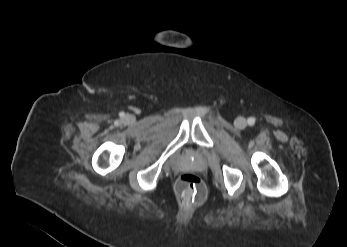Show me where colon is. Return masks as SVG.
<instances>
[{"mask_svg": "<svg viewBox=\"0 0 347 247\" xmlns=\"http://www.w3.org/2000/svg\"><path fill=\"white\" fill-rule=\"evenodd\" d=\"M176 192L183 202L201 203L206 197V188L201 179L191 173L182 175L176 183Z\"/></svg>", "mask_w": 347, "mask_h": 247, "instance_id": "colon-1", "label": "colon"}]
</instances>
